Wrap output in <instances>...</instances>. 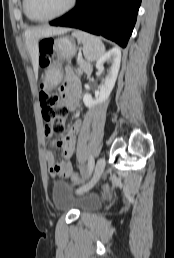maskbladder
I'll return each instance as SVG.
<instances>
[{
    "mask_svg": "<svg viewBox=\"0 0 174 258\" xmlns=\"http://www.w3.org/2000/svg\"><path fill=\"white\" fill-rule=\"evenodd\" d=\"M53 202L59 208H73L80 213L96 210L101 201L95 196H84L77 198L72 186L64 180H56L52 186Z\"/></svg>",
    "mask_w": 174,
    "mask_h": 258,
    "instance_id": "bladder-1",
    "label": "bladder"
}]
</instances>
